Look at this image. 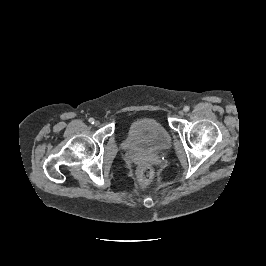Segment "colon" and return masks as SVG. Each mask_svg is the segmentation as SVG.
I'll return each mask as SVG.
<instances>
[{"label": "colon", "mask_w": 266, "mask_h": 266, "mask_svg": "<svg viewBox=\"0 0 266 266\" xmlns=\"http://www.w3.org/2000/svg\"><path fill=\"white\" fill-rule=\"evenodd\" d=\"M153 175L151 166L147 163L141 164L137 169V179L141 184L148 183Z\"/></svg>", "instance_id": "colon-1"}]
</instances>
